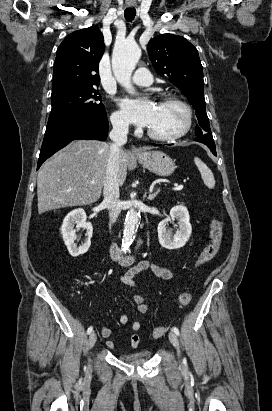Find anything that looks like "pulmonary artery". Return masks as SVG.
Listing matches in <instances>:
<instances>
[{"instance_id": "1", "label": "pulmonary artery", "mask_w": 272, "mask_h": 411, "mask_svg": "<svg viewBox=\"0 0 272 411\" xmlns=\"http://www.w3.org/2000/svg\"><path fill=\"white\" fill-rule=\"evenodd\" d=\"M132 81L138 86H150L153 83L151 73L144 67L135 71Z\"/></svg>"}]
</instances>
